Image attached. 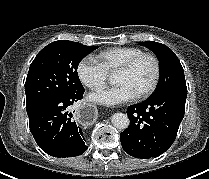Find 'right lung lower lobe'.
I'll return each instance as SVG.
<instances>
[{
  "label": "right lung lower lobe",
  "instance_id": "right-lung-lower-lobe-1",
  "mask_svg": "<svg viewBox=\"0 0 209 179\" xmlns=\"http://www.w3.org/2000/svg\"><path fill=\"white\" fill-rule=\"evenodd\" d=\"M83 93L54 98L28 115L30 131L47 154L64 158L79 156L87 150L83 132L68 112Z\"/></svg>",
  "mask_w": 209,
  "mask_h": 179
}]
</instances>
